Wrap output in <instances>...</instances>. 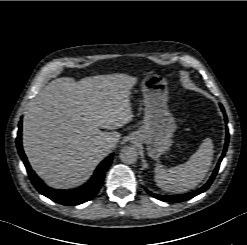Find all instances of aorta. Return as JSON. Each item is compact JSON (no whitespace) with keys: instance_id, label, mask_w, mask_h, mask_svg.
Returning <instances> with one entry per match:
<instances>
[{"instance_id":"obj_1","label":"aorta","mask_w":247,"mask_h":245,"mask_svg":"<svg viewBox=\"0 0 247 245\" xmlns=\"http://www.w3.org/2000/svg\"><path fill=\"white\" fill-rule=\"evenodd\" d=\"M119 157L124 164H134L138 160V152L133 147L127 146L121 149Z\"/></svg>"}]
</instances>
